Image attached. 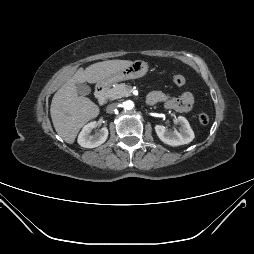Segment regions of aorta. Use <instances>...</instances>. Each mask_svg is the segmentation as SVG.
<instances>
[{
    "label": "aorta",
    "instance_id": "762f6f07",
    "mask_svg": "<svg viewBox=\"0 0 254 254\" xmlns=\"http://www.w3.org/2000/svg\"><path fill=\"white\" fill-rule=\"evenodd\" d=\"M123 107H124V109H126V110H131V109H133L134 104H133L132 101L128 100V101H125V102L123 103Z\"/></svg>",
    "mask_w": 254,
    "mask_h": 254
}]
</instances>
